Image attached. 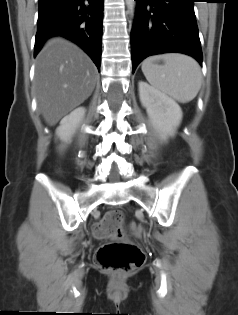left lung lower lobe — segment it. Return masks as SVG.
I'll return each instance as SVG.
<instances>
[{"mask_svg":"<svg viewBox=\"0 0 238 315\" xmlns=\"http://www.w3.org/2000/svg\"><path fill=\"white\" fill-rule=\"evenodd\" d=\"M131 32L133 73L148 56L178 52L202 65V50L194 13L195 0H134Z\"/></svg>","mask_w":238,"mask_h":315,"instance_id":"1","label":"left lung lower lobe"}]
</instances>
